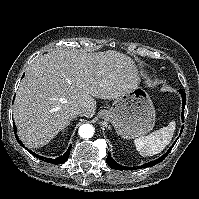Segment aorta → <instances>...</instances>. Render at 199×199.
<instances>
[{"label":"aorta","mask_w":199,"mask_h":199,"mask_svg":"<svg viewBox=\"0 0 199 199\" xmlns=\"http://www.w3.org/2000/svg\"><path fill=\"white\" fill-rule=\"evenodd\" d=\"M78 133L81 138L88 139L91 138L94 134V128L90 124H83L80 126Z\"/></svg>","instance_id":"aorta-1"}]
</instances>
